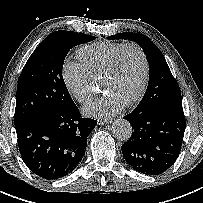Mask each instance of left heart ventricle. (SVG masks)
I'll return each instance as SVG.
<instances>
[{"instance_id":"obj_1","label":"left heart ventricle","mask_w":203,"mask_h":203,"mask_svg":"<svg viewBox=\"0 0 203 203\" xmlns=\"http://www.w3.org/2000/svg\"><path fill=\"white\" fill-rule=\"evenodd\" d=\"M143 75V62L137 50L127 49L113 74L101 80V91L123 103L138 90Z\"/></svg>"}]
</instances>
